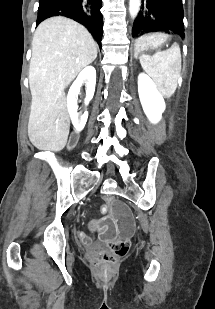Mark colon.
I'll return each mask as SVG.
<instances>
[{
  "label": "colon",
  "instance_id": "colon-1",
  "mask_svg": "<svg viewBox=\"0 0 215 309\" xmlns=\"http://www.w3.org/2000/svg\"><path fill=\"white\" fill-rule=\"evenodd\" d=\"M128 248L126 241H113L107 244L106 248L97 253L98 258H115L117 255H122Z\"/></svg>",
  "mask_w": 215,
  "mask_h": 309
}]
</instances>
